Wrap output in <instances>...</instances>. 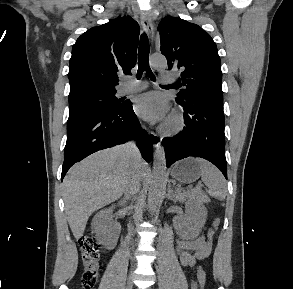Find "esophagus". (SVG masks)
<instances>
[{
	"label": "esophagus",
	"mask_w": 293,
	"mask_h": 289,
	"mask_svg": "<svg viewBox=\"0 0 293 289\" xmlns=\"http://www.w3.org/2000/svg\"><path fill=\"white\" fill-rule=\"evenodd\" d=\"M141 24L150 40L153 38V24L150 16L148 14H141ZM149 137L154 145V147L158 148L161 145V137L157 135L153 131H149Z\"/></svg>",
	"instance_id": "34e87169"
}]
</instances>
